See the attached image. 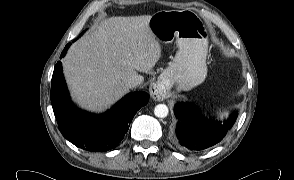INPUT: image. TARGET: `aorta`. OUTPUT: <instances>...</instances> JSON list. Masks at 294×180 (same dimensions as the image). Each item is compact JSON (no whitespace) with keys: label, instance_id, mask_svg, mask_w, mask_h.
<instances>
[{"label":"aorta","instance_id":"762f6f07","mask_svg":"<svg viewBox=\"0 0 294 180\" xmlns=\"http://www.w3.org/2000/svg\"><path fill=\"white\" fill-rule=\"evenodd\" d=\"M168 107L165 104H158L155 106L154 114L158 118H165L168 115Z\"/></svg>","mask_w":294,"mask_h":180}]
</instances>
